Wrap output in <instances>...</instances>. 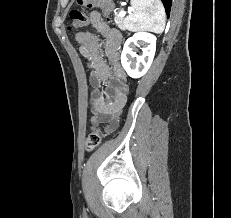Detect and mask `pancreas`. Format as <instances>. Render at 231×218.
Segmentation results:
<instances>
[{"label":"pancreas","mask_w":231,"mask_h":218,"mask_svg":"<svg viewBox=\"0 0 231 218\" xmlns=\"http://www.w3.org/2000/svg\"><path fill=\"white\" fill-rule=\"evenodd\" d=\"M115 23L116 25L121 29V30H125V26H124V20L121 17H115Z\"/></svg>","instance_id":"obj_1"}]
</instances>
